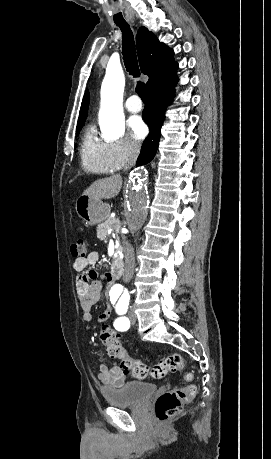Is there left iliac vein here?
<instances>
[{
  "instance_id": "obj_1",
  "label": "left iliac vein",
  "mask_w": 271,
  "mask_h": 459,
  "mask_svg": "<svg viewBox=\"0 0 271 459\" xmlns=\"http://www.w3.org/2000/svg\"><path fill=\"white\" fill-rule=\"evenodd\" d=\"M128 317H129L131 323L134 324L135 321H136V318H135L133 309H130V310H129V312H128Z\"/></svg>"
}]
</instances>
